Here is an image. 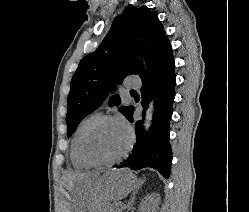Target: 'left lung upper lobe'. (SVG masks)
<instances>
[{
  "mask_svg": "<svg viewBox=\"0 0 249 212\" xmlns=\"http://www.w3.org/2000/svg\"><path fill=\"white\" fill-rule=\"evenodd\" d=\"M170 43L156 12L146 6L127 7L118 15L100 46L84 57L71 80L67 99V136L70 137L78 124L99 107L116 83L143 69L136 57H142L149 67L162 48ZM120 97L114 95L109 105H119ZM128 107H120L125 115Z\"/></svg>",
  "mask_w": 249,
  "mask_h": 212,
  "instance_id": "obj_1",
  "label": "left lung upper lobe"
}]
</instances>
